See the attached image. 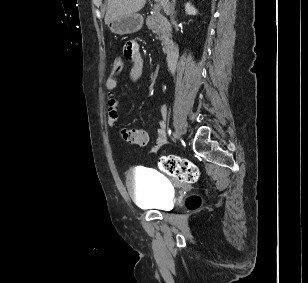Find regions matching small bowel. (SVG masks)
Instances as JSON below:
<instances>
[{
  "instance_id": "obj_1",
  "label": "small bowel",
  "mask_w": 308,
  "mask_h": 283,
  "mask_svg": "<svg viewBox=\"0 0 308 283\" xmlns=\"http://www.w3.org/2000/svg\"><path fill=\"white\" fill-rule=\"evenodd\" d=\"M124 55L132 62L131 69L129 71V77L132 81H138L141 79L144 73V60L139 49V44L136 41H128L123 47ZM117 87V81L113 77H109L105 82V88L107 91V116L108 125L111 128L120 131L122 138L133 145L139 147L146 146L150 141L149 133L144 129L137 128H124L119 126L120 113L118 109V100L115 95V89ZM160 119L158 121V128L156 130V140L153 146L152 152H157L166 143V116L167 107L161 106Z\"/></svg>"
}]
</instances>
